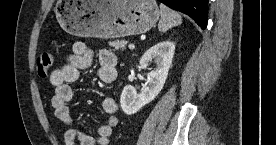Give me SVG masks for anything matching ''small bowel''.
Segmentation results:
<instances>
[{
	"mask_svg": "<svg viewBox=\"0 0 276 145\" xmlns=\"http://www.w3.org/2000/svg\"><path fill=\"white\" fill-rule=\"evenodd\" d=\"M92 62V52L84 42H75L72 45V52L67 57V62L63 66L53 70L49 76V81L55 92L52 97V107L55 116L68 129L64 133L66 145H75L78 141L80 145H109L113 128L118 124L117 103L112 97H105L101 106L107 115L106 123L99 127L97 137L90 136L74 127V115L70 106L74 91L72 82L79 79L82 70L87 69ZM99 69L97 76L100 82L111 84L116 80V55L106 49L98 53Z\"/></svg>",
	"mask_w": 276,
	"mask_h": 145,
	"instance_id": "obj_1",
	"label": "small bowel"
}]
</instances>
